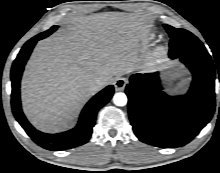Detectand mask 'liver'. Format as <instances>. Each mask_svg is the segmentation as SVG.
Wrapping results in <instances>:
<instances>
[{
  "label": "liver",
  "instance_id": "liver-1",
  "mask_svg": "<svg viewBox=\"0 0 220 173\" xmlns=\"http://www.w3.org/2000/svg\"><path fill=\"white\" fill-rule=\"evenodd\" d=\"M143 16L102 13L38 42L21 81L25 115L42 131L66 128L100 89L92 82L132 71Z\"/></svg>",
  "mask_w": 220,
  "mask_h": 173
}]
</instances>
